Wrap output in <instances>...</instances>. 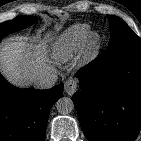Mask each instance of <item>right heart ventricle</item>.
Here are the masks:
<instances>
[{
	"instance_id": "e07e8e85",
	"label": "right heart ventricle",
	"mask_w": 141,
	"mask_h": 141,
	"mask_svg": "<svg viewBox=\"0 0 141 141\" xmlns=\"http://www.w3.org/2000/svg\"><path fill=\"white\" fill-rule=\"evenodd\" d=\"M90 32L87 24H74L66 29L54 43V58L61 62L73 58L83 49Z\"/></svg>"
}]
</instances>
